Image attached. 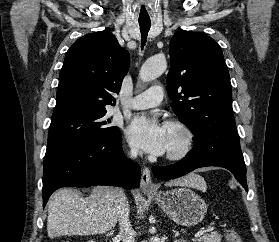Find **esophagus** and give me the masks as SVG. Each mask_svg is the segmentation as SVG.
Listing matches in <instances>:
<instances>
[{
	"instance_id": "1",
	"label": "esophagus",
	"mask_w": 279,
	"mask_h": 242,
	"mask_svg": "<svg viewBox=\"0 0 279 242\" xmlns=\"http://www.w3.org/2000/svg\"><path fill=\"white\" fill-rule=\"evenodd\" d=\"M140 188L142 192H154L157 189L152 182L150 170L147 167L142 170Z\"/></svg>"
}]
</instances>
